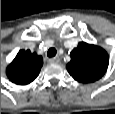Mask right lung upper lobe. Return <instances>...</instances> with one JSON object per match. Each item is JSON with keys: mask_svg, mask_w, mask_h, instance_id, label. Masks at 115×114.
<instances>
[{"mask_svg": "<svg viewBox=\"0 0 115 114\" xmlns=\"http://www.w3.org/2000/svg\"><path fill=\"white\" fill-rule=\"evenodd\" d=\"M42 65V56L31 53L30 50H20L8 65L6 74L13 83L25 85L37 78Z\"/></svg>", "mask_w": 115, "mask_h": 114, "instance_id": "obj_1", "label": "right lung upper lobe"}]
</instances>
